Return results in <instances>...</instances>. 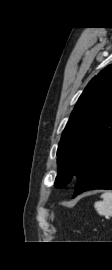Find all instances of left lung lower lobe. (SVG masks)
<instances>
[{
    "mask_svg": "<svg viewBox=\"0 0 112 270\" xmlns=\"http://www.w3.org/2000/svg\"><path fill=\"white\" fill-rule=\"evenodd\" d=\"M91 189L112 190V147L77 181L73 197Z\"/></svg>",
    "mask_w": 112,
    "mask_h": 270,
    "instance_id": "0a47b994",
    "label": "left lung lower lobe"
}]
</instances>
